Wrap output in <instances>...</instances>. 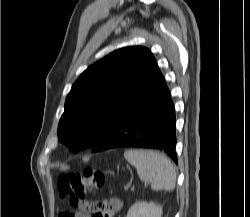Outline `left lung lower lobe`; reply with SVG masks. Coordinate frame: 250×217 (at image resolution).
Masks as SVG:
<instances>
[{"instance_id": "0a47b994", "label": "left lung lower lobe", "mask_w": 250, "mask_h": 217, "mask_svg": "<svg viewBox=\"0 0 250 217\" xmlns=\"http://www.w3.org/2000/svg\"><path fill=\"white\" fill-rule=\"evenodd\" d=\"M175 145L174 105L156 63L92 152L119 147L152 148L166 152L177 163Z\"/></svg>"}]
</instances>
